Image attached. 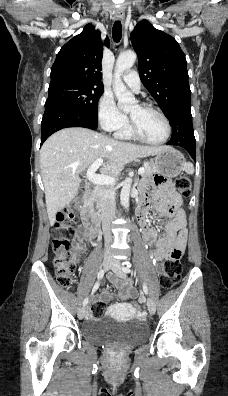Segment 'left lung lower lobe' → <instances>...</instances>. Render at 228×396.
I'll list each match as a JSON object with an SVG mask.
<instances>
[{
	"mask_svg": "<svg viewBox=\"0 0 228 396\" xmlns=\"http://www.w3.org/2000/svg\"><path fill=\"white\" fill-rule=\"evenodd\" d=\"M180 110V119H169L173 132L167 144L183 147L189 152L193 160L196 161V143L192 125L191 106L182 105Z\"/></svg>",
	"mask_w": 228,
	"mask_h": 396,
	"instance_id": "0a47b994",
	"label": "left lung lower lobe"
}]
</instances>
